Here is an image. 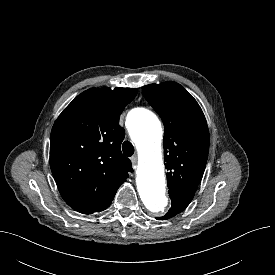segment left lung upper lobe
I'll use <instances>...</instances> for the list:
<instances>
[{
  "mask_svg": "<svg viewBox=\"0 0 275 275\" xmlns=\"http://www.w3.org/2000/svg\"><path fill=\"white\" fill-rule=\"evenodd\" d=\"M164 127V161L169 194L195 191L202 179L209 150V131L196 100L173 81L143 87Z\"/></svg>",
  "mask_w": 275,
  "mask_h": 275,
  "instance_id": "left-lung-upper-lobe-1",
  "label": "left lung upper lobe"
}]
</instances>
